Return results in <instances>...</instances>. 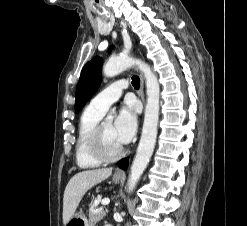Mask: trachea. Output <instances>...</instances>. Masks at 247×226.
Masks as SVG:
<instances>
[{
	"instance_id": "obj_1",
	"label": "trachea",
	"mask_w": 247,
	"mask_h": 226,
	"mask_svg": "<svg viewBox=\"0 0 247 226\" xmlns=\"http://www.w3.org/2000/svg\"><path fill=\"white\" fill-rule=\"evenodd\" d=\"M132 85L135 89H139V86H140V79L138 76L136 75H133L132 76Z\"/></svg>"
}]
</instances>
